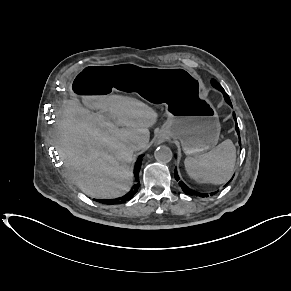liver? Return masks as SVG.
Here are the masks:
<instances>
[{"mask_svg":"<svg viewBox=\"0 0 291 291\" xmlns=\"http://www.w3.org/2000/svg\"><path fill=\"white\" fill-rule=\"evenodd\" d=\"M67 100L57 115L58 153L71 180L85 194L116 198L129 191L131 144L147 148L158 114L131 97L104 95ZM99 110L110 118L93 113ZM115 122H113L112 120Z\"/></svg>","mask_w":291,"mask_h":291,"instance_id":"1","label":"liver"}]
</instances>
